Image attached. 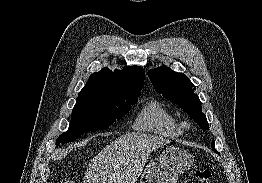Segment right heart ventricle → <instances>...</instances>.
<instances>
[{
  "label": "right heart ventricle",
  "mask_w": 262,
  "mask_h": 183,
  "mask_svg": "<svg viewBox=\"0 0 262 183\" xmlns=\"http://www.w3.org/2000/svg\"><path fill=\"white\" fill-rule=\"evenodd\" d=\"M134 128L169 138L179 137L183 133L176 117L158 101H150L142 107Z\"/></svg>",
  "instance_id": "1"
}]
</instances>
